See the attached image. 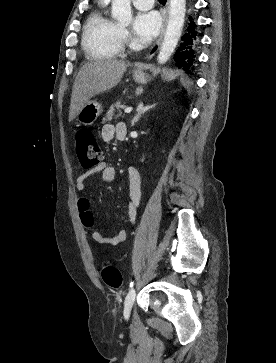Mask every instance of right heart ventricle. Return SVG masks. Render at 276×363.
I'll list each match as a JSON object with an SVG mask.
<instances>
[{"instance_id": "1", "label": "right heart ventricle", "mask_w": 276, "mask_h": 363, "mask_svg": "<svg viewBox=\"0 0 276 363\" xmlns=\"http://www.w3.org/2000/svg\"><path fill=\"white\" fill-rule=\"evenodd\" d=\"M82 46L96 60L120 55L123 51L121 26L101 10L92 13L84 28Z\"/></svg>"}]
</instances>
